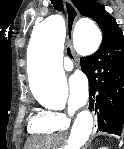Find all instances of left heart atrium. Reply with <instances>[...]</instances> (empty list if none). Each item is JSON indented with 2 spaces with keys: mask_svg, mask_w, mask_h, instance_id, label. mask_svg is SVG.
<instances>
[{
  "mask_svg": "<svg viewBox=\"0 0 124 149\" xmlns=\"http://www.w3.org/2000/svg\"><path fill=\"white\" fill-rule=\"evenodd\" d=\"M88 99V83L82 74H74L69 79V105L77 110L83 107Z\"/></svg>",
  "mask_w": 124,
  "mask_h": 149,
  "instance_id": "left-heart-atrium-1",
  "label": "left heart atrium"
}]
</instances>
